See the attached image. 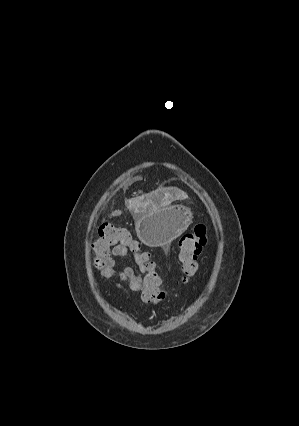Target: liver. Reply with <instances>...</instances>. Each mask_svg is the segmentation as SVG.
<instances>
[{
    "label": "liver",
    "instance_id": "6515ba94",
    "mask_svg": "<svg viewBox=\"0 0 299 426\" xmlns=\"http://www.w3.org/2000/svg\"><path fill=\"white\" fill-rule=\"evenodd\" d=\"M140 200H142V198H139V199H137V200H130V201H128L127 202V205H130L131 203H133V202H137L138 203V205H139V207H141L142 209H146V207H147V204H143V203H141V202H139ZM148 204H152V200H148ZM121 214V212L120 211H115L114 213H113V215H120Z\"/></svg>",
    "mask_w": 299,
    "mask_h": 426
}]
</instances>
